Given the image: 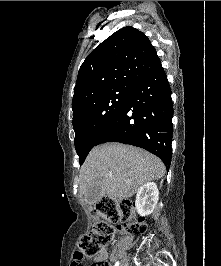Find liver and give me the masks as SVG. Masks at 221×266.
<instances>
[{"label": "liver", "instance_id": "obj_1", "mask_svg": "<svg viewBox=\"0 0 221 266\" xmlns=\"http://www.w3.org/2000/svg\"><path fill=\"white\" fill-rule=\"evenodd\" d=\"M165 166L155 155L130 145L107 143L94 147L80 172V193L100 185L111 199L133 196L140 186L158 180Z\"/></svg>", "mask_w": 221, "mask_h": 266}]
</instances>
